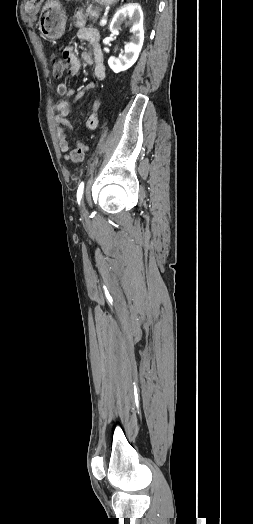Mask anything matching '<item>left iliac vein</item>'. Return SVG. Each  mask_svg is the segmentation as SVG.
<instances>
[{"label":"left iliac vein","instance_id":"obj_1","mask_svg":"<svg viewBox=\"0 0 253 524\" xmlns=\"http://www.w3.org/2000/svg\"><path fill=\"white\" fill-rule=\"evenodd\" d=\"M82 211H83V212H86V210H85V206H84V203H82Z\"/></svg>","mask_w":253,"mask_h":524}]
</instances>
